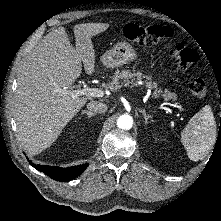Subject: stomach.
Returning <instances> with one entry per match:
<instances>
[{
    "label": "stomach",
    "instance_id": "1",
    "mask_svg": "<svg viewBox=\"0 0 221 221\" xmlns=\"http://www.w3.org/2000/svg\"><path fill=\"white\" fill-rule=\"evenodd\" d=\"M137 56L134 48L128 42H119L112 49L106 51L100 58L107 68L122 66Z\"/></svg>",
    "mask_w": 221,
    "mask_h": 221
}]
</instances>
